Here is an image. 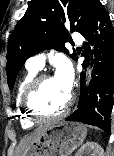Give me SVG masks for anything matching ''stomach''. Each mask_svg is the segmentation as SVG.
<instances>
[{
	"mask_svg": "<svg viewBox=\"0 0 114 156\" xmlns=\"http://www.w3.org/2000/svg\"><path fill=\"white\" fill-rule=\"evenodd\" d=\"M87 129L80 123L50 125L30 146L25 156H69L81 145Z\"/></svg>",
	"mask_w": 114,
	"mask_h": 156,
	"instance_id": "obj_1",
	"label": "stomach"
}]
</instances>
